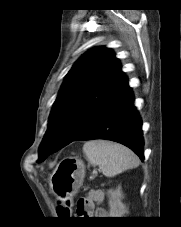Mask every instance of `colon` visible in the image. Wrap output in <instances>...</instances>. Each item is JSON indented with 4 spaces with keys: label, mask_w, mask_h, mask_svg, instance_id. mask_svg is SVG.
Segmentation results:
<instances>
[{
    "label": "colon",
    "mask_w": 181,
    "mask_h": 227,
    "mask_svg": "<svg viewBox=\"0 0 181 227\" xmlns=\"http://www.w3.org/2000/svg\"><path fill=\"white\" fill-rule=\"evenodd\" d=\"M71 212V203L68 200H63L59 204L58 213L60 215H69Z\"/></svg>",
    "instance_id": "colon-1"
}]
</instances>
